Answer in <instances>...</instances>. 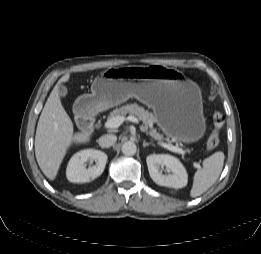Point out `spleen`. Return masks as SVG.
Here are the masks:
<instances>
[{
    "mask_svg": "<svg viewBox=\"0 0 261 254\" xmlns=\"http://www.w3.org/2000/svg\"><path fill=\"white\" fill-rule=\"evenodd\" d=\"M224 158L223 152H215L203 160V168L194 175L191 197L202 195L216 182L222 172Z\"/></svg>",
    "mask_w": 261,
    "mask_h": 254,
    "instance_id": "3e777b00",
    "label": "spleen"
}]
</instances>
